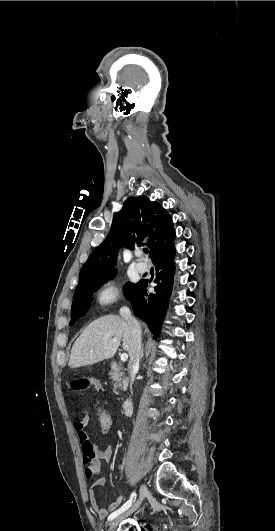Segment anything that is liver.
I'll list each match as a JSON object with an SVG mask.
<instances>
[{"label":"liver","mask_w":275,"mask_h":531,"mask_svg":"<svg viewBox=\"0 0 275 531\" xmlns=\"http://www.w3.org/2000/svg\"><path fill=\"white\" fill-rule=\"evenodd\" d=\"M131 327L124 317L118 315H105L92 321L82 335L75 341L71 353L69 367L78 369L86 365H94L99 361L114 357L121 339L124 351H130ZM117 339V341H113Z\"/></svg>","instance_id":"liver-1"}]
</instances>
